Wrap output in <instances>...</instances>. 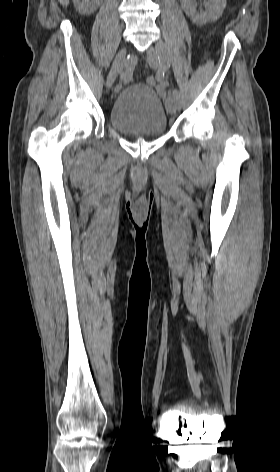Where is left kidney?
<instances>
[{
    "label": "left kidney",
    "mask_w": 280,
    "mask_h": 472,
    "mask_svg": "<svg viewBox=\"0 0 280 472\" xmlns=\"http://www.w3.org/2000/svg\"><path fill=\"white\" fill-rule=\"evenodd\" d=\"M181 1L185 13L198 25L216 21L222 15L226 5V0H208L204 2L205 11H197L195 0Z\"/></svg>",
    "instance_id": "left-kidney-1"
}]
</instances>
